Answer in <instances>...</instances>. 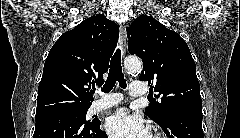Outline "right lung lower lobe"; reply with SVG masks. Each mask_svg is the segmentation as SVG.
<instances>
[{
  "mask_svg": "<svg viewBox=\"0 0 240 138\" xmlns=\"http://www.w3.org/2000/svg\"><path fill=\"white\" fill-rule=\"evenodd\" d=\"M33 138H107V134L99 120L86 124L66 114L36 121Z\"/></svg>",
  "mask_w": 240,
  "mask_h": 138,
  "instance_id": "obj_1",
  "label": "right lung lower lobe"
}]
</instances>
